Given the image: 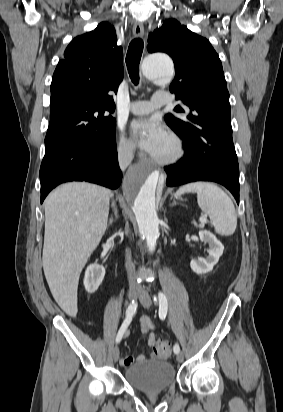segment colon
Wrapping results in <instances>:
<instances>
[{
    "label": "colon",
    "instance_id": "obj_1",
    "mask_svg": "<svg viewBox=\"0 0 283 412\" xmlns=\"http://www.w3.org/2000/svg\"><path fill=\"white\" fill-rule=\"evenodd\" d=\"M171 343L167 340L158 339L154 343L155 354L159 358H166L171 354Z\"/></svg>",
    "mask_w": 283,
    "mask_h": 412
}]
</instances>
